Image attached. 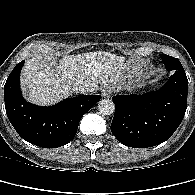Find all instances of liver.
<instances>
[{
  "label": "liver",
  "mask_w": 195,
  "mask_h": 195,
  "mask_svg": "<svg viewBox=\"0 0 195 195\" xmlns=\"http://www.w3.org/2000/svg\"><path fill=\"white\" fill-rule=\"evenodd\" d=\"M134 72L124 57L105 51L64 56L58 66L50 59L32 57L22 69L21 87L30 102L50 105L71 95L80 84L90 83L96 90L98 84L112 83L122 89Z\"/></svg>",
  "instance_id": "1"
}]
</instances>
